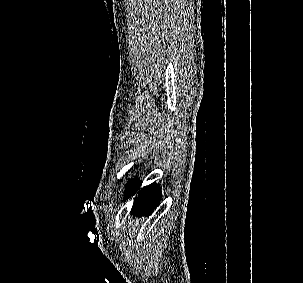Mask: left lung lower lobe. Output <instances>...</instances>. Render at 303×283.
<instances>
[{
  "label": "left lung lower lobe",
  "mask_w": 303,
  "mask_h": 283,
  "mask_svg": "<svg viewBox=\"0 0 303 283\" xmlns=\"http://www.w3.org/2000/svg\"><path fill=\"white\" fill-rule=\"evenodd\" d=\"M126 187L124 199H128L130 196L139 190L141 182L138 179H134L128 183ZM161 194L160 187L156 184H151L142 188L138 192V197H136L133 207V214H150L154 208L159 204Z\"/></svg>",
  "instance_id": "left-lung-lower-lobe-1"
}]
</instances>
